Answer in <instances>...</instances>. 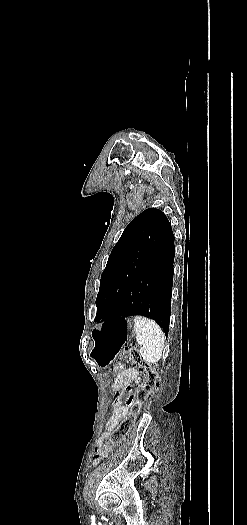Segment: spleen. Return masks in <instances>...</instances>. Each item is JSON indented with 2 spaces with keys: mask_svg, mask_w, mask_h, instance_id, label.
Segmentation results:
<instances>
[{
  "mask_svg": "<svg viewBox=\"0 0 247 525\" xmlns=\"http://www.w3.org/2000/svg\"><path fill=\"white\" fill-rule=\"evenodd\" d=\"M136 341L140 347V355L146 363L156 365L160 361L164 349L165 335L159 325L146 317H134Z\"/></svg>",
  "mask_w": 247,
  "mask_h": 525,
  "instance_id": "obj_1",
  "label": "spleen"
}]
</instances>
